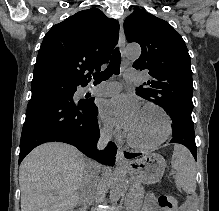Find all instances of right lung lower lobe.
Segmentation results:
<instances>
[{
	"instance_id": "1",
	"label": "right lung lower lobe",
	"mask_w": 219,
	"mask_h": 211,
	"mask_svg": "<svg viewBox=\"0 0 219 211\" xmlns=\"http://www.w3.org/2000/svg\"><path fill=\"white\" fill-rule=\"evenodd\" d=\"M84 87V85H81ZM69 94L57 86L32 87L23 125L19 162L36 146L46 142H64L100 163H115L117 146L110 142L103 151L96 149L99 139L98 108L93 100H74L76 87Z\"/></svg>"
}]
</instances>
